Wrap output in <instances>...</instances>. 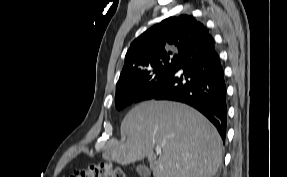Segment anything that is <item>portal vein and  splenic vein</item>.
<instances>
[{"label":"portal vein and splenic vein","instance_id":"obj_1","mask_svg":"<svg viewBox=\"0 0 287 177\" xmlns=\"http://www.w3.org/2000/svg\"><path fill=\"white\" fill-rule=\"evenodd\" d=\"M156 153L157 154H161V149L160 148H156Z\"/></svg>","mask_w":287,"mask_h":177}]
</instances>
